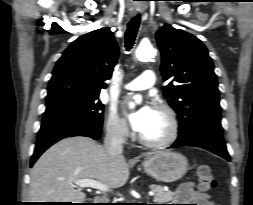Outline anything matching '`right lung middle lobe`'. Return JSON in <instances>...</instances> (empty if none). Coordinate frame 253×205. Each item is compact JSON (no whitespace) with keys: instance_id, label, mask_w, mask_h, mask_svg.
Returning <instances> with one entry per match:
<instances>
[{"instance_id":"1","label":"right lung middle lobe","mask_w":253,"mask_h":205,"mask_svg":"<svg viewBox=\"0 0 253 205\" xmlns=\"http://www.w3.org/2000/svg\"><path fill=\"white\" fill-rule=\"evenodd\" d=\"M103 104L98 95H72L46 101L42 122L75 121L102 125Z\"/></svg>"}]
</instances>
